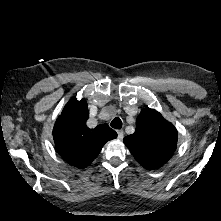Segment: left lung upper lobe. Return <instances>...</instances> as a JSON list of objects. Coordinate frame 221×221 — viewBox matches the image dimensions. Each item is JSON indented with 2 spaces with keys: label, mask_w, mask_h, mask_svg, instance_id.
Here are the masks:
<instances>
[{
  "label": "left lung upper lobe",
  "mask_w": 221,
  "mask_h": 221,
  "mask_svg": "<svg viewBox=\"0 0 221 221\" xmlns=\"http://www.w3.org/2000/svg\"><path fill=\"white\" fill-rule=\"evenodd\" d=\"M124 143L143 167L155 169L173 155L177 130L159 112L147 108L138 115L136 130L124 138Z\"/></svg>",
  "instance_id": "left-lung-upper-lobe-1"
}]
</instances>
